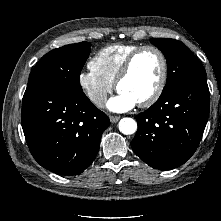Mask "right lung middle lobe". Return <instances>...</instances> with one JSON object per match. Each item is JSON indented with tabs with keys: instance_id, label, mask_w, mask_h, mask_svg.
Returning a JSON list of instances; mask_svg holds the SVG:
<instances>
[{
	"instance_id": "dd1d6c3e",
	"label": "right lung middle lobe",
	"mask_w": 221,
	"mask_h": 221,
	"mask_svg": "<svg viewBox=\"0 0 221 221\" xmlns=\"http://www.w3.org/2000/svg\"><path fill=\"white\" fill-rule=\"evenodd\" d=\"M90 46L88 42H81L45 54L30 73L28 85L37 84L55 90L82 91L79 78L90 54Z\"/></svg>"
}]
</instances>
